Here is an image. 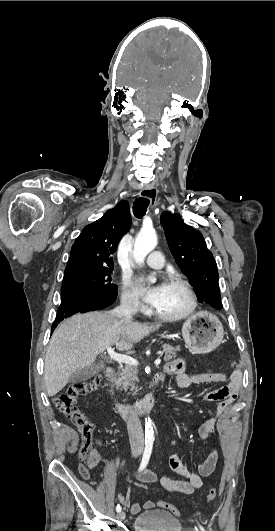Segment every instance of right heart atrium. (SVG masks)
I'll return each mask as SVG.
<instances>
[{
    "mask_svg": "<svg viewBox=\"0 0 275 531\" xmlns=\"http://www.w3.org/2000/svg\"><path fill=\"white\" fill-rule=\"evenodd\" d=\"M122 305L130 314H136L144 310V304L139 294L131 287L130 280H123Z\"/></svg>",
    "mask_w": 275,
    "mask_h": 531,
    "instance_id": "obj_1",
    "label": "right heart atrium"
}]
</instances>
